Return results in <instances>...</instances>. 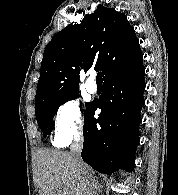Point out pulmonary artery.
I'll return each instance as SVG.
<instances>
[{"instance_id":"pulmonary-artery-1","label":"pulmonary artery","mask_w":178,"mask_h":195,"mask_svg":"<svg viewBox=\"0 0 178 195\" xmlns=\"http://www.w3.org/2000/svg\"><path fill=\"white\" fill-rule=\"evenodd\" d=\"M86 90L90 93V94H94L97 91V84L95 81V74L91 73L89 75V78L86 81Z\"/></svg>"}]
</instances>
